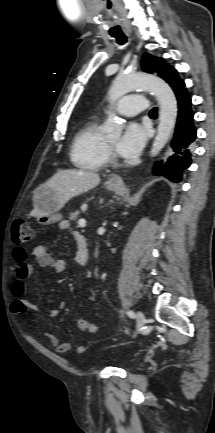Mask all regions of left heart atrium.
Wrapping results in <instances>:
<instances>
[{
	"instance_id": "39dd6f15",
	"label": "left heart atrium",
	"mask_w": 215,
	"mask_h": 433,
	"mask_svg": "<svg viewBox=\"0 0 215 433\" xmlns=\"http://www.w3.org/2000/svg\"><path fill=\"white\" fill-rule=\"evenodd\" d=\"M147 138L146 129L138 122H129L116 144L118 153L126 158L137 156Z\"/></svg>"
}]
</instances>
